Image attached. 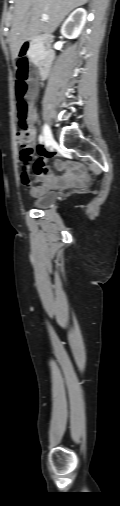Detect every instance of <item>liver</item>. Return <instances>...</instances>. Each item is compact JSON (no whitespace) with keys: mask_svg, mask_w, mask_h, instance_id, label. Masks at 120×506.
Returning <instances> with one entry per match:
<instances>
[{"mask_svg":"<svg viewBox=\"0 0 120 506\" xmlns=\"http://www.w3.org/2000/svg\"><path fill=\"white\" fill-rule=\"evenodd\" d=\"M88 0H16L9 34L12 57L16 58L24 42L31 37L53 32L60 22L76 7ZM48 15L43 21L41 16Z\"/></svg>","mask_w":120,"mask_h":506,"instance_id":"obj_1","label":"liver"}]
</instances>
